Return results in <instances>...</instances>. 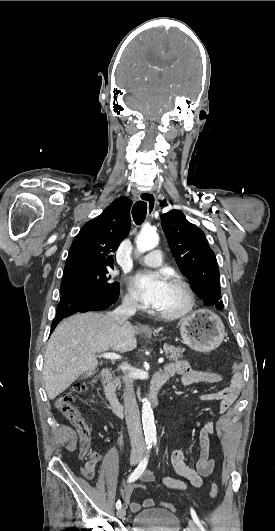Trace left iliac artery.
Masks as SVG:
<instances>
[{
  "mask_svg": "<svg viewBox=\"0 0 275 531\" xmlns=\"http://www.w3.org/2000/svg\"><path fill=\"white\" fill-rule=\"evenodd\" d=\"M152 442H153L154 446L156 447V445H157V440H153ZM146 453H147V451H146ZM190 512H191V516H192L194 522H195V523L197 524V526L201 529V531H206V530L204 529V527L202 526V524H201V522H200V520H199V518H198V516H197V514H196V512H195V510H194L193 508H191V509H190Z\"/></svg>",
  "mask_w": 275,
  "mask_h": 531,
  "instance_id": "obj_1",
  "label": "left iliac artery"
}]
</instances>
